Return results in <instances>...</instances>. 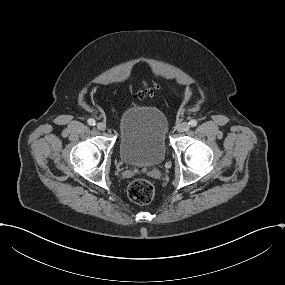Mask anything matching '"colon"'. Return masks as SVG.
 Masks as SVG:
<instances>
[{
  "instance_id": "5ec220e1",
  "label": "colon",
  "mask_w": 285,
  "mask_h": 285,
  "mask_svg": "<svg viewBox=\"0 0 285 285\" xmlns=\"http://www.w3.org/2000/svg\"><path fill=\"white\" fill-rule=\"evenodd\" d=\"M157 85L143 83L135 92L137 99H144L154 94ZM155 195L154 185L145 179H136L128 186V196L136 204L144 205L152 201Z\"/></svg>"
}]
</instances>
